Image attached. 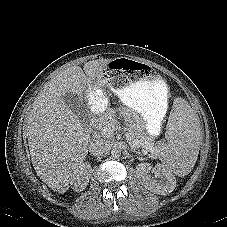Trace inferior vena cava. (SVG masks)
<instances>
[{
	"mask_svg": "<svg viewBox=\"0 0 227 227\" xmlns=\"http://www.w3.org/2000/svg\"><path fill=\"white\" fill-rule=\"evenodd\" d=\"M109 143L104 139H95L89 145V151L93 156H103L109 151Z\"/></svg>",
	"mask_w": 227,
	"mask_h": 227,
	"instance_id": "602c4592",
	"label": "inferior vena cava"
}]
</instances>
